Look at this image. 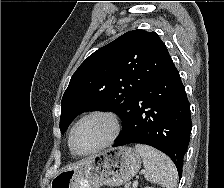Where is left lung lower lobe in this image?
<instances>
[{
  "label": "left lung lower lobe",
  "instance_id": "0a47b994",
  "mask_svg": "<svg viewBox=\"0 0 224 188\" xmlns=\"http://www.w3.org/2000/svg\"><path fill=\"white\" fill-rule=\"evenodd\" d=\"M131 112L113 147L130 143L153 146L172 159L181 177L192 125L190 105L174 64L143 87Z\"/></svg>",
  "mask_w": 224,
  "mask_h": 188
}]
</instances>
